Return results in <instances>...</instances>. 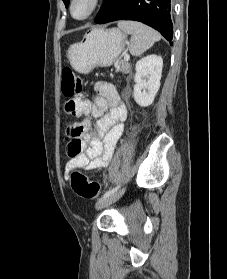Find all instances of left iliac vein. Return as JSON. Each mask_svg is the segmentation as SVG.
I'll use <instances>...</instances> for the list:
<instances>
[{
  "label": "left iliac vein",
  "mask_w": 227,
  "mask_h": 279,
  "mask_svg": "<svg viewBox=\"0 0 227 279\" xmlns=\"http://www.w3.org/2000/svg\"><path fill=\"white\" fill-rule=\"evenodd\" d=\"M124 191L125 190L123 189V190H120V191H118V192H116V193H114V194H112L108 197L102 198L101 200H99L97 202L96 208L101 209V208H103L105 206H108L109 204L117 201L123 195Z\"/></svg>",
  "instance_id": "1"
}]
</instances>
